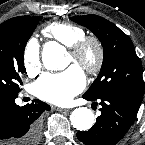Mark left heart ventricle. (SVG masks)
<instances>
[{"instance_id": "1", "label": "left heart ventricle", "mask_w": 145, "mask_h": 145, "mask_svg": "<svg viewBox=\"0 0 145 145\" xmlns=\"http://www.w3.org/2000/svg\"><path fill=\"white\" fill-rule=\"evenodd\" d=\"M84 60L88 63H93L95 59V51L92 47L86 49L84 56ZM75 63L73 57L69 54L68 64Z\"/></svg>"}]
</instances>
